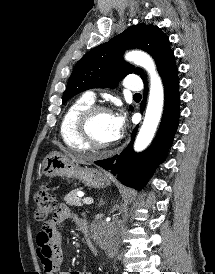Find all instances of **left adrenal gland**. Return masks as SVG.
<instances>
[{
    "label": "left adrenal gland",
    "instance_id": "a2214340",
    "mask_svg": "<svg viewBox=\"0 0 215 274\" xmlns=\"http://www.w3.org/2000/svg\"><path fill=\"white\" fill-rule=\"evenodd\" d=\"M104 204L103 200H100L99 206H102Z\"/></svg>",
    "mask_w": 215,
    "mask_h": 274
}]
</instances>
